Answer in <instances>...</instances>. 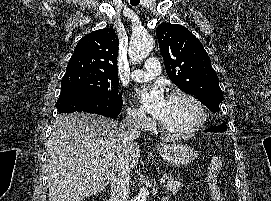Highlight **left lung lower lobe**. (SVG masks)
I'll return each mask as SVG.
<instances>
[{
  "instance_id": "left-lung-lower-lobe-1",
  "label": "left lung lower lobe",
  "mask_w": 271,
  "mask_h": 201,
  "mask_svg": "<svg viewBox=\"0 0 271 201\" xmlns=\"http://www.w3.org/2000/svg\"><path fill=\"white\" fill-rule=\"evenodd\" d=\"M226 130H227L226 127L219 125V126H212L208 129L204 130V132H224Z\"/></svg>"
}]
</instances>
